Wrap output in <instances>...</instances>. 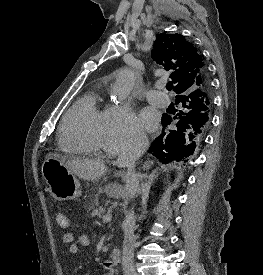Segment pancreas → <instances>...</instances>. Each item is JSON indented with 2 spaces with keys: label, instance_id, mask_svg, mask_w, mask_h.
Instances as JSON below:
<instances>
[{
  "label": "pancreas",
  "instance_id": "cf45deb5",
  "mask_svg": "<svg viewBox=\"0 0 263 275\" xmlns=\"http://www.w3.org/2000/svg\"><path fill=\"white\" fill-rule=\"evenodd\" d=\"M90 209H92L91 217H101L105 213V208L99 206L98 196L92 201Z\"/></svg>",
  "mask_w": 263,
  "mask_h": 275
}]
</instances>
